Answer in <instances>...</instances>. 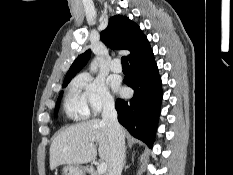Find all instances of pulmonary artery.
Masks as SVG:
<instances>
[{
    "instance_id": "e3ab8cb5",
    "label": "pulmonary artery",
    "mask_w": 233,
    "mask_h": 175,
    "mask_svg": "<svg viewBox=\"0 0 233 175\" xmlns=\"http://www.w3.org/2000/svg\"><path fill=\"white\" fill-rule=\"evenodd\" d=\"M110 68H111L112 72H115V73L122 72V67H121L120 61L118 59H114L111 62Z\"/></svg>"
}]
</instances>
